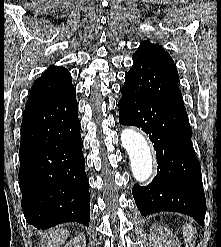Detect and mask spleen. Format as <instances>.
<instances>
[{"label": "spleen", "instance_id": "spleen-1", "mask_svg": "<svg viewBox=\"0 0 221 247\" xmlns=\"http://www.w3.org/2000/svg\"><path fill=\"white\" fill-rule=\"evenodd\" d=\"M183 236L185 247H194L195 245V236L196 230L191 225L183 226Z\"/></svg>", "mask_w": 221, "mask_h": 247}]
</instances>
